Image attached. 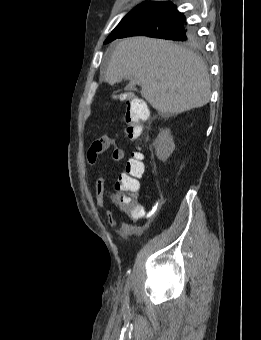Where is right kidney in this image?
<instances>
[{
    "label": "right kidney",
    "instance_id": "ca27d5eb",
    "mask_svg": "<svg viewBox=\"0 0 261 340\" xmlns=\"http://www.w3.org/2000/svg\"><path fill=\"white\" fill-rule=\"evenodd\" d=\"M156 156L163 162L166 161L175 149V143L170 129H162L153 142Z\"/></svg>",
    "mask_w": 261,
    "mask_h": 340
}]
</instances>
